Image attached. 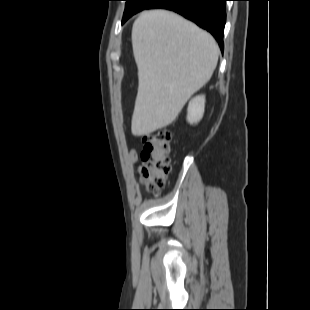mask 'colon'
Instances as JSON below:
<instances>
[{
  "label": "colon",
  "mask_w": 310,
  "mask_h": 310,
  "mask_svg": "<svg viewBox=\"0 0 310 310\" xmlns=\"http://www.w3.org/2000/svg\"><path fill=\"white\" fill-rule=\"evenodd\" d=\"M170 140L171 133L165 129L143 136L139 174L148 192L157 193L165 185L170 172Z\"/></svg>",
  "instance_id": "colon-1"
}]
</instances>
